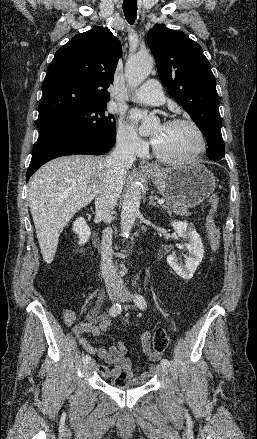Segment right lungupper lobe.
I'll use <instances>...</instances> for the list:
<instances>
[{
	"mask_svg": "<svg viewBox=\"0 0 257 439\" xmlns=\"http://www.w3.org/2000/svg\"><path fill=\"white\" fill-rule=\"evenodd\" d=\"M121 54L120 42L107 28L94 27L73 37L47 69L38 119L106 104Z\"/></svg>",
	"mask_w": 257,
	"mask_h": 439,
	"instance_id": "cb5924a9",
	"label": "right lung upper lobe"
}]
</instances>
